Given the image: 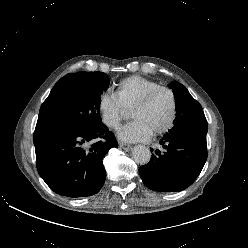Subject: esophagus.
Segmentation results:
<instances>
[{"label":"esophagus","mask_w":248,"mask_h":248,"mask_svg":"<svg viewBox=\"0 0 248 248\" xmlns=\"http://www.w3.org/2000/svg\"><path fill=\"white\" fill-rule=\"evenodd\" d=\"M119 146L124 149V150H130L131 149V146L127 143H124V142H120L119 143Z\"/></svg>","instance_id":"obj_1"}]
</instances>
